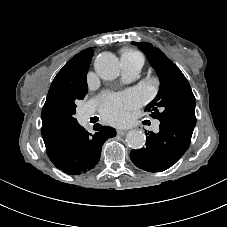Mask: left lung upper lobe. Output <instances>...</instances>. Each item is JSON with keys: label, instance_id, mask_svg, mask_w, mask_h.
Listing matches in <instances>:
<instances>
[{"label": "left lung upper lobe", "instance_id": "1", "mask_svg": "<svg viewBox=\"0 0 227 227\" xmlns=\"http://www.w3.org/2000/svg\"><path fill=\"white\" fill-rule=\"evenodd\" d=\"M133 44L145 52L160 79L158 94L146 110L158 120L174 119L195 126V97L181 70L151 43Z\"/></svg>", "mask_w": 227, "mask_h": 227}]
</instances>
